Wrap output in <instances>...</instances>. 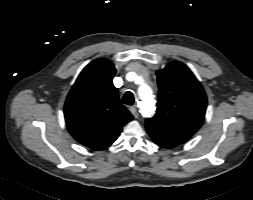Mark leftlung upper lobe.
<instances>
[{"label":"left lung upper lobe","instance_id":"obj_1","mask_svg":"<svg viewBox=\"0 0 253 200\" xmlns=\"http://www.w3.org/2000/svg\"><path fill=\"white\" fill-rule=\"evenodd\" d=\"M159 99L153 118L146 125L192 136L202 125L207 106L199 81L181 62L169 63L158 70Z\"/></svg>","mask_w":253,"mask_h":200}]
</instances>
